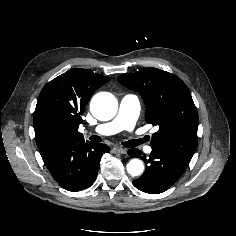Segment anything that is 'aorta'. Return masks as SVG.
<instances>
[{
	"mask_svg": "<svg viewBox=\"0 0 236 236\" xmlns=\"http://www.w3.org/2000/svg\"><path fill=\"white\" fill-rule=\"evenodd\" d=\"M90 109L94 117L99 120L112 119L118 110L116 98L108 92L96 94L90 103ZM144 170V164L139 159H132L127 164V171L132 176L140 175Z\"/></svg>",
	"mask_w": 236,
	"mask_h": 236,
	"instance_id": "1",
	"label": "aorta"
}]
</instances>
